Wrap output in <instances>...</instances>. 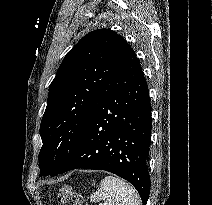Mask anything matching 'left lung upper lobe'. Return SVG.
Listing matches in <instances>:
<instances>
[{
	"mask_svg": "<svg viewBox=\"0 0 212 205\" xmlns=\"http://www.w3.org/2000/svg\"><path fill=\"white\" fill-rule=\"evenodd\" d=\"M129 49L114 31L98 29L86 34L65 55L50 84L40 125V176L60 173Z\"/></svg>",
	"mask_w": 212,
	"mask_h": 205,
	"instance_id": "1",
	"label": "left lung upper lobe"
}]
</instances>
